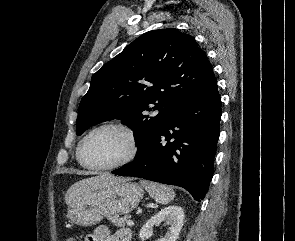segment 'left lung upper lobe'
<instances>
[{"label":"left lung upper lobe","mask_w":295,"mask_h":241,"mask_svg":"<svg viewBox=\"0 0 295 241\" xmlns=\"http://www.w3.org/2000/svg\"><path fill=\"white\" fill-rule=\"evenodd\" d=\"M215 81L192 36L178 29L146 32L92 76L79 105L76 134L121 119L134 132L138 155L178 108Z\"/></svg>","instance_id":"left-lung-upper-lobe-1"}]
</instances>
